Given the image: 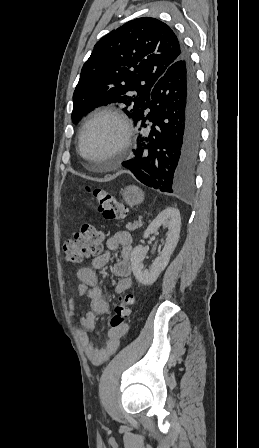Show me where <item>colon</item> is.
Segmentation results:
<instances>
[{
    "label": "colon",
    "instance_id": "colon-1",
    "mask_svg": "<svg viewBox=\"0 0 259 448\" xmlns=\"http://www.w3.org/2000/svg\"><path fill=\"white\" fill-rule=\"evenodd\" d=\"M87 191L95 198V210L106 219L121 220L126 217L128 208L114 195L99 187H87ZM102 234L91 224L84 223L81 230L64 244L66 260L70 263H80L91 254L100 250ZM134 303L132 294L120 295L118 302L111 314V327L117 328L124 325L130 315V307Z\"/></svg>",
    "mask_w": 259,
    "mask_h": 448
}]
</instances>
